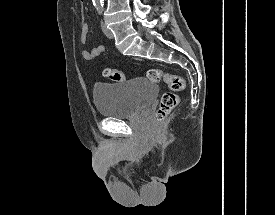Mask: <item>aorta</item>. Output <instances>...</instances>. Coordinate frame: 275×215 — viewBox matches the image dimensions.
Wrapping results in <instances>:
<instances>
[{
  "mask_svg": "<svg viewBox=\"0 0 275 215\" xmlns=\"http://www.w3.org/2000/svg\"><path fill=\"white\" fill-rule=\"evenodd\" d=\"M92 1H93L94 5L98 6V5H102L104 0H92Z\"/></svg>",
  "mask_w": 275,
  "mask_h": 215,
  "instance_id": "aorta-1",
  "label": "aorta"
}]
</instances>
